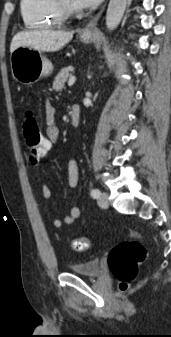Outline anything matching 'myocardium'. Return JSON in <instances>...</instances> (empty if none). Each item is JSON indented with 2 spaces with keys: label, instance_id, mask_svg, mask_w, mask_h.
<instances>
[{
  "label": "myocardium",
  "instance_id": "obj_1",
  "mask_svg": "<svg viewBox=\"0 0 171 337\" xmlns=\"http://www.w3.org/2000/svg\"><path fill=\"white\" fill-rule=\"evenodd\" d=\"M59 10L64 19L74 16L77 13L76 8L68 0H56Z\"/></svg>",
  "mask_w": 171,
  "mask_h": 337
}]
</instances>
